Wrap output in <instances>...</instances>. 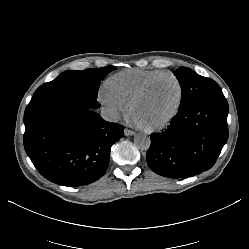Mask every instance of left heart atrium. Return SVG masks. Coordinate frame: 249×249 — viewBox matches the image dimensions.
<instances>
[{
  "instance_id": "1",
  "label": "left heart atrium",
  "mask_w": 249,
  "mask_h": 249,
  "mask_svg": "<svg viewBox=\"0 0 249 249\" xmlns=\"http://www.w3.org/2000/svg\"><path fill=\"white\" fill-rule=\"evenodd\" d=\"M129 119H130V121H131L134 125H136V126H138V127L143 126L134 114L131 113V115L129 116Z\"/></svg>"
}]
</instances>
